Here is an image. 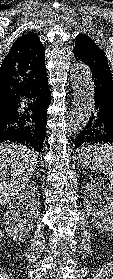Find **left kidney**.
I'll list each match as a JSON object with an SVG mask.
<instances>
[{
	"label": "left kidney",
	"instance_id": "1",
	"mask_svg": "<svg viewBox=\"0 0 113 279\" xmlns=\"http://www.w3.org/2000/svg\"><path fill=\"white\" fill-rule=\"evenodd\" d=\"M83 199L87 216L93 226L101 232L112 234L113 192L91 180L86 183Z\"/></svg>",
	"mask_w": 113,
	"mask_h": 279
}]
</instances>
